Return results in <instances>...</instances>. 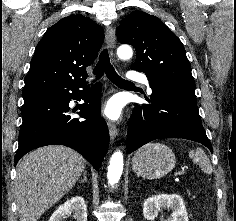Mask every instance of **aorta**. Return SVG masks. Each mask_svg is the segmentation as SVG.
I'll return each instance as SVG.
<instances>
[{
  "label": "aorta",
  "instance_id": "762f6f07",
  "mask_svg": "<svg viewBox=\"0 0 236 221\" xmlns=\"http://www.w3.org/2000/svg\"><path fill=\"white\" fill-rule=\"evenodd\" d=\"M120 59H130L133 55L129 45H121L117 50ZM123 171V154L120 151L114 152L108 166L107 178L110 185L117 184Z\"/></svg>",
  "mask_w": 236,
  "mask_h": 221
}]
</instances>
